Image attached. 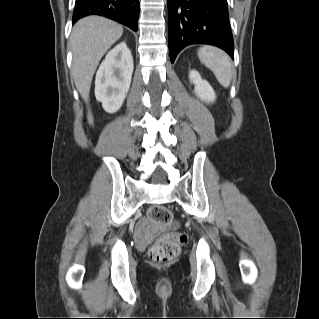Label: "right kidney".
Segmentation results:
<instances>
[{
	"label": "right kidney",
	"mask_w": 319,
	"mask_h": 319,
	"mask_svg": "<svg viewBox=\"0 0 319 319\" xmlns=\"http://www.w3.org/2000/svg\"><path fill=\"white\" fill-rule=\"evenodd\" d=\"M133 58L125 42L116 45L101 63L95 79V96L108 113L117 112L129 91Z\"/></svg>",
	"instance_id": "obj_1"
}]
</instances>
